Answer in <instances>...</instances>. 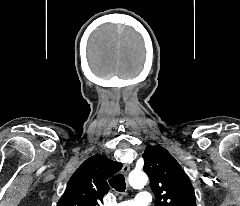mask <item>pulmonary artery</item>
<instances>
[{
	"label": "pulmonary artery",
	"mask_w": 240,
	"mask_h": 206,
	"mask_svg": "<svg viewBox=\"0 0 240 206\" xmlns=\"http://www.w3.org/2000/svg\"><path fill=\"white\" fill-rule=\"evenodd\" d=\"M150 194L147 191L139 192L132 200H125L117 204V206H149Z\"/></svg>",
	"instance_id": "obj_1"
}]
</instances>
